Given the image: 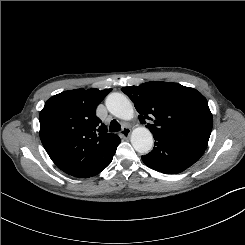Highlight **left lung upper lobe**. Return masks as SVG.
Instances as JSON below:
<instances>
[{"mask_svg":"<svg viewBox=\"0 0 245 245\" xmlns=\"http://www.w3.org/2000/svg\"><path fill=\"white\" fill-rule=\"evenodd\" d=\"M121 90L134 103L141 123L154 121L146 126L153 136L207 148L213 119L206 98L196 89L154 81Z\"/></svg>","mask_w":245,"mask_h":245,"instance_id":"left-lung-upper-lobe-1","label":"left lung upper lobe"}]
</instances>
